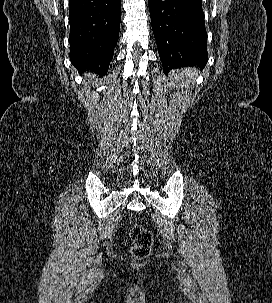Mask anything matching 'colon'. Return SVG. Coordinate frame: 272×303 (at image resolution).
<instances>
[{
  "mask_svg": "<svg viewBox=\"0 0 272 303\" xmlns=\"http://www.w3.org/2000/svg\"><path fill=\"white\" fill-rule=\"evenodd\" d=\"M130 238L132 256L136 259L147 258L153 244L152 232L147 227L136 223L130 229Z\"/></svg>",
  "mask_w": 272,
  "mask_h": 303,
  "instance_id": "1",
  "label": "colon"
}]
</instances>
